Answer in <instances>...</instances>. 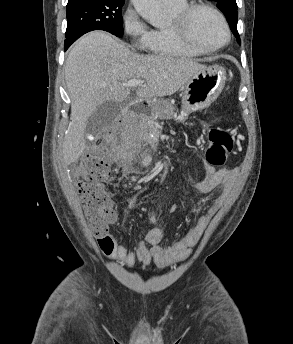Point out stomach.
<instances>
[{
    "label": "stomach",
    "mask_w": 293,
    "mask_h": 344,
    "mask_svg": "<svg viewBox=\"0 0 293 344\" xmlns=\"http://www.w3.org/2000/svg\"><path fill=\"white\" fill-rule=\"evenodd\" d=\"M225 85V71L218 65H211L198 71L182 87V115L204 109L220 95ZM147 105L152 114L161 119L175 117L174 106L164 100H149Z\"/></svg>",
    "instance_id": "stomach-1"
}]
</instances>
